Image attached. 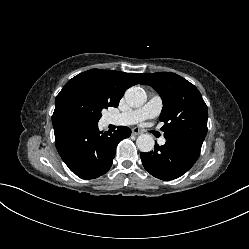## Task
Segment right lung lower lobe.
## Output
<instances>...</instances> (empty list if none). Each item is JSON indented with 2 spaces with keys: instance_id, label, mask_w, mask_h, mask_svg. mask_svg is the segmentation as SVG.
<instances>
[{
  "instance_id": "obj_1",
  "label": "right lung lower lobe",
  "mask_w": 249,
  "mask_h": 249,
  "mask_svg": "<svg viewBox=\"0 0 249 249\" xmlns=\"http://www.w3.org/2000/svg\"><path fill=\"white\" fill-rule=\"evenodd\" d=\"M55 145L68 168L78 177L94 179L111 167L118 143L131 135L119 126L113 132H100L90 124L67 115L52 116Z\"/></svg>"
}]
</instances>
